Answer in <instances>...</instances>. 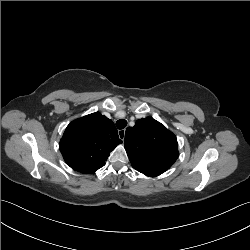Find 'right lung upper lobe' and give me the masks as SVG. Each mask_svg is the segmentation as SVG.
I'll list each match as a JSON object with an SVG mask.
<instances>
[{
  "instance_id": "right-lung-upper-lobe-1",
  "label": "right lung upper lobe",
  "mask_w": 250,
  "mask_h": 250,
  "mask_svg": "<svg viewBox=\"0 0 250 250\" xmlns=\"http://www.w3.org/2000/svg\"><path fill=\"white\" fill-rule=\"evenodd\" d=\"M120 143L114 123L96 112L72 121L59 146L72 169L91 174L105 165L110 152Z\"/></svg>"
}]
</instances>
